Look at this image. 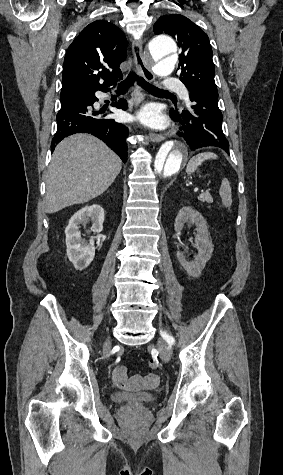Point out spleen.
I'll list each match as a JSON object with an SVG mask.
<instances>
[{
	"label": "spleen",
	"mask_w": 283,
	"mask_h": 475,
	"mask_svg": "<svg viewBox=\"0 0 283 475\" xmlns=\"http://www.w3.org/2000/svg\"><path fill=\"white\" fill-rule=\"evenodd\" d=\"M218 156L216 154H212V152H203V154H197L194 158H191L187 164L186 172L187 174H191V172H196L198 170V166H201L205 160H217ZM220 198H222V204L225 208H230L232 206V192L230 188V184L226 178L222 180L220 190H219Z\"/></svg>",
	"instance_id": "3e777b00"
}]
</instances>
